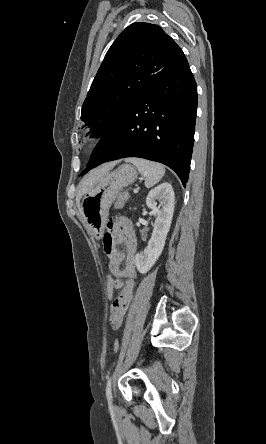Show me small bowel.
Returning a JSON list of instances; mask_svg holds the SVG:
<instances>
[{
    "instance_id": "obj_1",
    "label": "small bowel",
    "mask_w": 266,
    "mask_h": 444,
    "mask_svg": "<svg viewBox=\"0 0 266 444\" xmlns=\"http://www.w3.org/2000/svg\"><path fill=\"white\" fill-rule=\"evenodd\" d=\"M121 245L123 249L119 248ZM103 248L108 258L109 271L116 277L117 289L121 290L113 300L109 312V324L112 329L117 330L121 327L130 306L136 278L137 240L132 224L127 218L115 217L108 222L103 237Z\"/></svg>"
}]
</instances>
